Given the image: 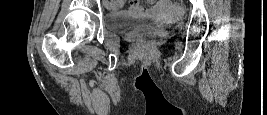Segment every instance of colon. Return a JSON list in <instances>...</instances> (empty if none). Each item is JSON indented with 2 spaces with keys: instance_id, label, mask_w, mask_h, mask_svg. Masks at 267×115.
Wrapping results in <instances>:
<instances>
[{
  "instance_id": "5ec220e1",
  "label": "colon",
  "mask_w": 267,
  "mask_h": 115,
  "mask_svg": "<svg viewBox=\"0 0 267 115\" xmlns=\"http://www.w3.org/2000/svg\"><path fill=\"white\" fill-rule=\"evenodd\" d=\"M111 12L112 13H119V12H121L120 6L113 5L111 7ZM152 38H153V35L152 34H143V35L140 36V39H142V40H151Z\"/></svg>"
}]
</instances>
